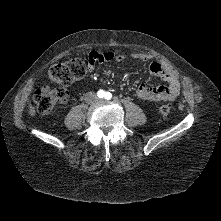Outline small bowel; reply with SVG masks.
Segmentation results:
<instances>
[{"label": "small bowel", "instance_id": "1", "mask_svg": "<svg viewBox=\"0 0 221 221\" xmlns=\"http://www.w3.org/2000/svg\"><path fill=\"white\" fill-rule=\"evenodd\" d=\"M131 57L141 62H149V72L152 76L166 83L164 86L148 87L141 83L136 89L138 98L146 101H171L180 93V81L177 71L167 63L155 59L147 53H133ZM124 61L126 56L112 51H91L88 55L89 71H93L97 64L110 61Z\"/></svg>", "mask_w": 221, "mask_h": 221}]
</instances>
